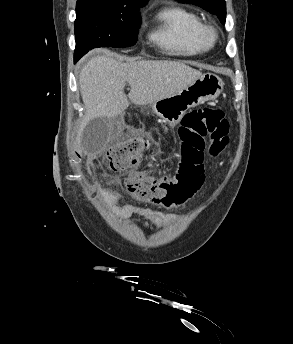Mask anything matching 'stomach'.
<instances>
[{
  "label": "stomach",
  "mask_w": 293,
  "mask_h": 344,
  "mask_svg": "<svg viewBox=\"0 0 293 344\" xmlns=\"http://www.w3.org/2000/svg\"><path fill=\"white\" fill-rule=\"evenodd\" d=\"M223 86L224 82L219 76L204 73L181 92L152 103V109L163 122L174 126L191 107L216 99Z\"/></svg>",
  "instance_id": "1"
}]
</instances>
